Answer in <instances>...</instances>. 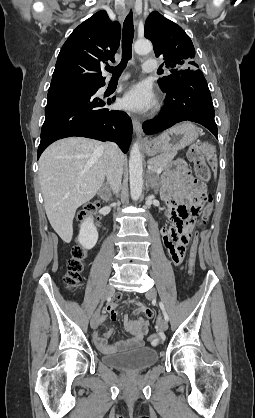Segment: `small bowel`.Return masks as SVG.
<instances>
[{
  "label": "small bowel",
  "instance_id": "small-bowel-1",
  "mask_svg": "<svg viewBox=\"0 0 255 418\" xmlns=\"http://www.w3.org/2000/svg\"><path fill=\"white\" fill-rule=\"evenodd\" d=\"M205 194L204 184L191 174L184 162H176L166 173L162 197L166 202V216L172 222V225L161 230V237L167 247L165 253L167 256H171L170 263L176 269L183 267L187 249L191 244L190 239L193 234H197V230L196 228L175 227L189 217L192 211L199 208ZM132 303L138 306L137 312L143 313L145 318L131 319L125 316L123 319L124 328L131 334V338L121 339L116 344L107 343L106 337L111 333V329L106 333H101L99 329L96 330L93 334V340L101 352L110 354L142 345L143 337L148 332L149 319L153 317V311L139 302ZM116 307L115 303L107 307V314L100 318V324H103L107 318L111 321L118 318Z\"/></svg>",
  "mask_w": 255,
  "mask_h": 418
}]
</instances>
